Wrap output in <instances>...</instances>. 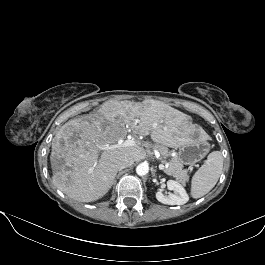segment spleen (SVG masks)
<instances>
[{
    "instance_id": "1",
    "label": "spleen",
    "mask_w": 265,
    "mask_h": 265,
    "mask_svg": "<svg viewBox=\"0 0 265 265\" xmlns=\"http://www.w3.org/2000/svg\"><path fill=\"white\" fill-rule=\"evenodd\" d=\"M223 169V156L220 151L211 152L205 163L196 171L191 181V196L200 198L216 185Z\"/></svg>"
}]
</instances>
